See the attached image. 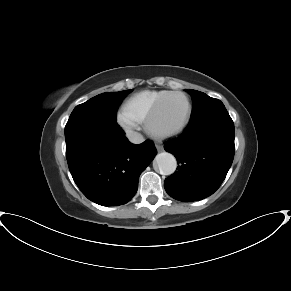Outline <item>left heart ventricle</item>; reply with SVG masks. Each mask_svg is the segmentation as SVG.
<instances>
[{"label": "left heart ventricle", "mask_w": 291, "mask_h": 291, "mask_svg": "<svg viewBox=\"0 0 291 291\" xmlns=\"http://www.w3.org/2000/svg\"><path fill=\"white\" fill-rule=\"evenodd\" d=\"M187 104L181 95H173L164 102L156 124L160 129L168 130L179 127L186 119Z\"/></svg>", "instance_id": "left-heart-ventricle-1"}]
</instances>
